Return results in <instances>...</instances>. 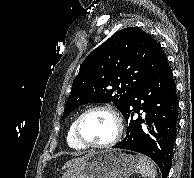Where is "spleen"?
<instances>
[{"instance_id":"3e777b00","label":"spleen","mask_w":194,"mask_h":178,"mask_svg":"<svg viewBox=\"0 0 194 178\" xmlns=\"http://www.w3.org/2000/svg\"><path fill=\"white\" fill-rule=\"evenodd\" d=\"M139 173L142 177L155 178L156 168L153 162L147 157L140 155L139 157Z\"/></svg>"}]
</instances>
